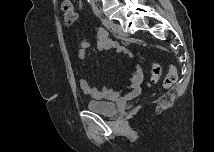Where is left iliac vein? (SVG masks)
I'll return each instance as SVG.
<instances>
[{
	"mask_svg": "<svg viewBox=\"0 0 215 152\" xmlns=\"http://www.w3.org/2000/svg\"><path fill=\"white\" fill-rule=\"evenodd\" d=\"M110 22H111V28L115 33L120 35L123 34L122 28L119 24L113 23L112 21Z\"/></svg>",
	"mask_w": 215,
	"mask_h": 152,
	"instance_id": "obj_1",
	"label": "left iliac vein"
}]
</instances>
